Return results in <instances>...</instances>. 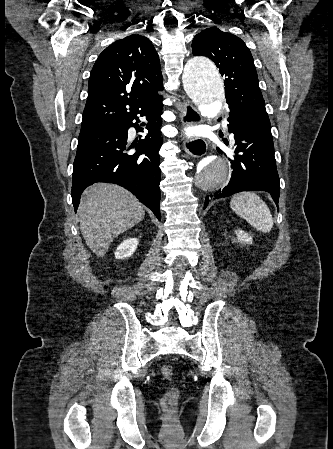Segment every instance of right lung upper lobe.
<instances>
[{
  "mask_svg": "<svg viewBox=\"0 0 333 449\" xmlns=\"http://www.w3.org/2000/svg\"><path fill=\"white\" fill-rule=\"evenodd\" d=\"M162 79L159 56L148 38L133 34L115 41L92 68L81 131L113 124L154 102Z\"/></svg>",
  "mask_w": 333,
  "mask_h": 449,
  "instance_id": "1",
  "label": "right lung upper lobe"
}]
</instances>
